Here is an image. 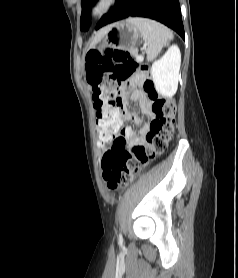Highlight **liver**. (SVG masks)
<instances>
[{"instance_id": "liver-1", "label": "liver", "mask_w": 238, "mask_h": 278, "mask_svg": "<svg viewBox=\"0 0 238 278\" xmlns=\"http://www.w3.org/2000/svg\"><path fill=\"white\" fill-rule=\"evenodd\" d=\"M105 33H106V28H104L101 31H99L96 34L95 38L93 39L90 47H93L96 43H98L102 39V37L105 35Z\"/></svg>"}]
</instances>
